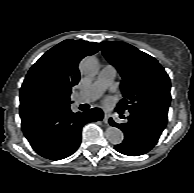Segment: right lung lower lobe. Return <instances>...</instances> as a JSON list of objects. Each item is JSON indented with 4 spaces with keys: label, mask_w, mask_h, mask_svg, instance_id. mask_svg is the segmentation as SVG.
Returning a JSON list of instances; mask_svg holds the SVG:
<instances>
[{
    "label": "right lung lower lobe",
    "mask_w": 194,
    "mask_h": 193,
    "mask_svg": "<svg viewBox=\"0 0 194 193\" xmlns=\"http://www.w3.org/2000/svg\"><path fill=\"white\" fill-rule=\"evenodd\" d=\"M103 112L93 108L73 113L70 104L53 110L21 116L22 130L32 148L41 156L60 160L73 154L81 142L82 127L100 121Z\"/></svg>",
    "instance_id": "98d812e1"
}]
</instances>
